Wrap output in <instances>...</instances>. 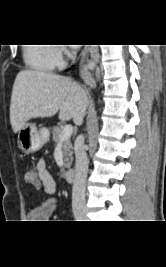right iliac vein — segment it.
<instances>
[{"label":"right iliac vein","mask_w":166,"mask_h":267,"mask_svg":"<svg viewBox=\"0 0 166 267\" xmlns=\"http://www.w3.org/2000/svg\"><path fill=\"white\" fill-rule=\"evenodd\" d=\"M74 216L77 220H86L87 219V215H86V212L84 210L75 211Z\"/></svg>","instance_id":"1"}]
</instances>
